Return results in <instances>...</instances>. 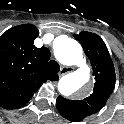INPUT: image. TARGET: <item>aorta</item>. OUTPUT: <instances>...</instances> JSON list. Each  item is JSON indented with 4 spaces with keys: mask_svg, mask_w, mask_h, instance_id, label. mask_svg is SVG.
<instances>
[{
    "mask_svg": "<svg viewBox=\"0 0 124 124\" xmlns=\"http://www.w3.org/2000/svg\"><path fill=\"white\" fill-rule=\"evenodd\" d=\"M54 54L59 62L79 68L63 76L58 82V91L63 96H70L82 89L90 78V70L83 58L81 45L68 36H60L54 44Z\"/></svg>",
    "mask_w": 124,
    "mask_h": 124,
    "instance_id": "1",
    "label": "aorta"
}]
</instances>
